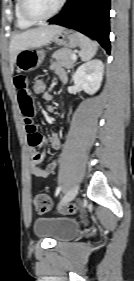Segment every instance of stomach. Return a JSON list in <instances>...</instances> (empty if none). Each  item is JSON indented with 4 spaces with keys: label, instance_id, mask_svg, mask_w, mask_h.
Listing matches in <instances>:
<instances>
[{
    "label": "stomach",
    "instance_id": "obj_1",
    "mask_svg": "<svg viewBox=\"0 0 134 281\" xmlns=\"http://www.w3.org/2000/svg\"><path fill=\"white\" fill-rule=\"evenodd\" d=\"M81 34L62 28L54 37L53 41L65 48H75L81 44ZM45 55L42 50L26 49L20 51L15 58V66L18 71L29 72L37 69L43 62Z\"/></svg>",
    "mask_w": 134,
    "mask_h": 281
}]
</instances>
